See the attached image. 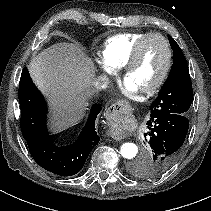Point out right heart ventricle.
Returning <instances> with one entry per match:
<instances>
[{"instance_id":"e07e8e85","label":"right heart ventricle","mask_w":211,"mask_h":211,"mask_svg":"<svg viewBox=\"0 0 211 211\" xmlns=\"http://www.w3.org/2000/svg\"><path fill=\"white\" fill-rule=\"evenodd\" d=\"M147 33L127 32L108 38L101 51L104 62L112 68H123L135 44Z\"/></svg>"}]
</instances>
